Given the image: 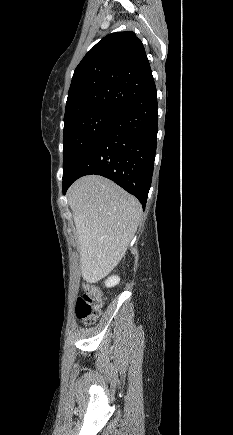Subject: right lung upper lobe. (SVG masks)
<instances>
[{"label": "right lung upper lobe", "instance_id": "1", "mask_svg": "<svg viewBox=\"0 0 233 435\" xmlns=\"http://www.w3.org/2000/svg\"><path fill=\"white\" fill-rule=\"evenodd\" d=\"M153 83L144 46L135 33L109 34L76 67L64 120L96 108L122 111Z\"/></svg>", "mask_w": 233, "mask_h": 435}]
</instances>
